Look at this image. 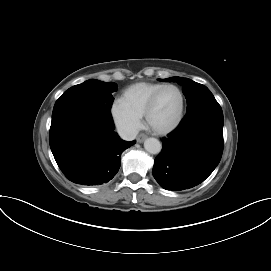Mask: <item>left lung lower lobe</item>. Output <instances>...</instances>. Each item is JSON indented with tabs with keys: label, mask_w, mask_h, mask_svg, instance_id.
I'll return each instance as SVG.
<instances>
[{
	"label": "left lung lower lobe",
	"mask_w": 271,
	"mask_h": 271,
	"mask_svg": "<svg viewBox=\"0 0 271 271\" xmlns=\"http://www.w3.org/2000/svg\"><path fill=\"white\" fill-rule=\"evenodd\" d=\"M153 176L166 190H184L203 182L223 152V112L217 101L188 111L178 128L162 139Z\"/></svg>",
	"instance_id": "1"
}]
</instances>
